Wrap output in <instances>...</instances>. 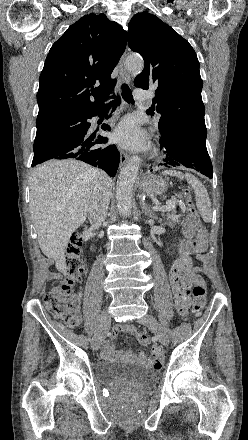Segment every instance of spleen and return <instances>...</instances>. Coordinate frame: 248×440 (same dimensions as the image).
<instances>
[{"mask_svg":"<svg viewBox=\"0 0 248 440\" xmlns=\"http://www.w3.org/2000/svg\"><path fill=\"white\" fill-rule=\"evenodd\" d=\"M162 174L175 176L179 179L185 178L194 189V193L196 197V206L198 208V211L202 219L207 223L211 222L212 208H211V201L208 192L204 187V185L194 175L190 173L183 174L182 172L175 170H167L162 172Z\"/></svg>","mask_w":248,"mask_h":440,"instance_id":"1","label":"spleen"}]
</instances>
